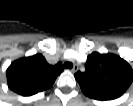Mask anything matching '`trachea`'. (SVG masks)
<instances>
[{"label": "trachea", "mask_w": 133, "mask_h": 106, "mask_svg": "<svg viewBox=\"0 0 133 106\" xmlns=\"http://www.w3.org/2000/svg\"><path fill=\"white\" fill-rule=\"evenodd\" d=\"M72 67H73V64L71 62H65L64 63V68L71 69Z\"/></svg>", "instance_id": "3493384b"}]
</instances>
